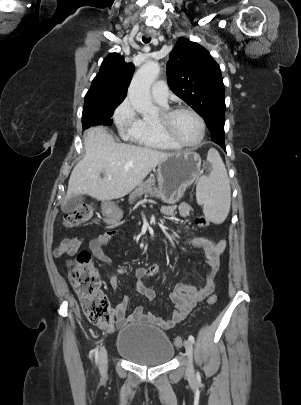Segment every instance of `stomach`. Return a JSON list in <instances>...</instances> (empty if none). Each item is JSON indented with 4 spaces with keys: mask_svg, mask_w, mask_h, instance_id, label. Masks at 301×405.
Wrapping results in <instances>:
<instances>
[{
    "mask_svg": "<svg viewBox=\"0 0 301 405\" xmlns=\"http://www.w3.org/2000/svg\"><path fill=\"white\" fill-rule=\"evenodd\" d=\"M200 169L201 157L192 150L169 154L158 164V196L166 203L178 202L186 189L198 180ZM111 212L108 222L114 227L121 215L115 209Z\"/></svg>",
    "mask_w": 301,
    "mask_h": 405,
    "instance_id": "stomach-1",
    "label": "stomach"
}]
</instances>
